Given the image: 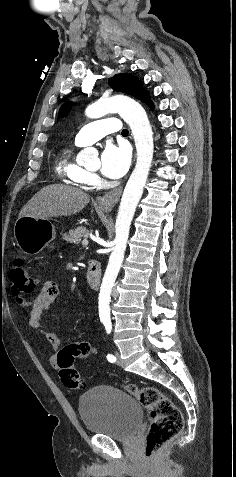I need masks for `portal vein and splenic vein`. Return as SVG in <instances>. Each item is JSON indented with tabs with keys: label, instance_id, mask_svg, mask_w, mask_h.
I'll list each match as a JSON object with an SVG mask.
<instances>
[{
	"label": "portal vein and splenic vein",
	"instance_id": "obj_1",
	"mask_svg": "<svg viewBox=\"0 0 236 477\" xmlns=\"http://www.w3.org/2000/svg\"><path fill=\"white\" fill-rule=\"evenodd\" d=\"M88 243H89V242H88V240H87L86 238L82 241V245H83V246H87Z\"/></svg>",
	"mask_w": 236,
	"mask_h": 477
}]
</instances>
